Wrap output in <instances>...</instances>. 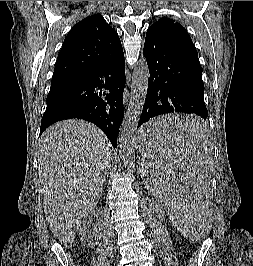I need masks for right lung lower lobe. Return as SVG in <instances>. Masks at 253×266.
I'll use <instances>...</instances> for the list:
<instances>
[{
  "mask_svg": "<svg viewBox=\"0 0 253 266\" xmlns=\"http://www.w3.org/2000/svg\"><path fill=\"white\" fill-rule=\"evenodd\" d=\"M124 87V55L64 83L50 97L42 117L40 135L57 121L79 118L97 125L116 148L119 127L124 117ZM102 88L108 89L109 93L99 92L98 89Z\"/></svg>",
  "mask_w": 253,
  "mask_h": 266,
  "instance_id": "98d812e1",
  "label": "right lung lower lobe"
}]
</instances>
